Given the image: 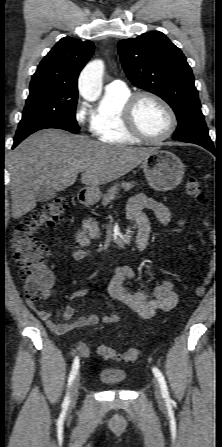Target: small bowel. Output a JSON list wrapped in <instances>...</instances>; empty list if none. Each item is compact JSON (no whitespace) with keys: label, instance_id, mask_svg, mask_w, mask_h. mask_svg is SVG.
Listing matches in <instances>:
<instances>
[{"label":"small bowel","instance_id":"c3829d8e","mask_svg":"<svg viewBox=\"0 0 222 447\" xmlns=\"http://www.w3.org/2000/svg\"><path fill=\"white\" fill-rule=\"evenodd\" d=\"M144 210L153 211L157 220L163 225H167L171 221V213L165 205L144 194H137L132 197L127 205L126 219L136 223L138 227V234L135 241L137 250H143L145 248V239L149 230L148 223L143 216ZM180 224L183 225L184 223L181 222ZM189 249L192 251L193 247L190 246ZM69 250L76 261H83L91 256L89 250L79 245L71 246ZM134 277L135 272L130 266L124 264L116 266L114 275L108 285L109 295L113 299L126 304L133 313H136L142 319H150L157 312H170L175 308L178 303V294L175 290L174 283L170 279L163 280L155 285L150 293H147L141 290L133 292L126 288L125 283L134 279ZM53 286L54 278L51 275L50 281L45 285L40 296L43 301H47L51 297ZM88 292V288L76 289L71 293V299L83 298ZM26 303L30 310L44 321L52 331L58 334H66L82 327L95 326L99 322L116 324L120 321V316L113 312L106 313L103 316L88 315L74 318V307L67 305L61 313L62 322L55 323L52 320V314L49 310L42 308L37 302ZM75 350L85 357L90 356V349L82 343L77 344Z\"/></svg>","mask_w":222,"mask_h":447}]
</instances>
